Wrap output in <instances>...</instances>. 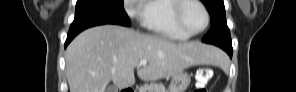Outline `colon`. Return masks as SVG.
Wrapping results in <instances>:
<instances>
[{
	"instance_id": "5ec220e1",
	"label": "colon",
	"mask_w": 296,
	"mask_h": 92,
	"mask_svg": "<svg viewBox=\"0 0 296 92\" xmlns=\"http://www.w3.org/2000/svg\"><path fill=\"white\" fill-rule=\"evenodd\" d=\"M211 74L208 68H203L197 71L195 75V87L194 92H207L205 84L210 79Z\"/></svg>"
}]
</instances>
